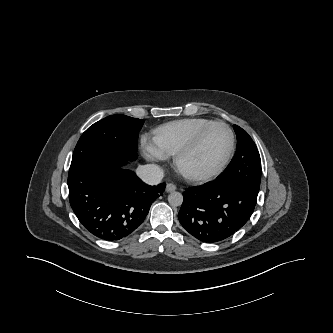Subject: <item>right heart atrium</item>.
Returning <instances> with one entry per match:
<instances>
[{"label":"right heart atrium","instance_id":"d8ad5b80","mask_svg":"<svg viewBox=\"0 0 333 333\" xmlns=\"http://www.w3.org/2000/svg\"><path fill=\"white\" fill-rule=\"evenodd\" d=\"M141 146L145 157L152 162H159L166 158V156L161 151H159L155 145L149 143L145 139L142 140Z\"/></svg>","mask_w":333,"mask_h":333}]
</instances>
